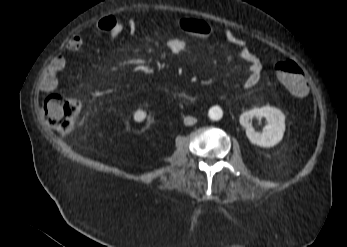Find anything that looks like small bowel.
Instances as JSON below:
<instances>
[{"instance_id": "small-bowel-1", "label": "small bowel", "mask_w": 347, "mask_h": 247, "mask_svg": "<svg viewBox=\"0 0 347 247\" xmlns=\"http://www.w3.org/2000/svg\"><path fill=\"white\" fill-rule=\"evenodd\" d=\"M178 27L187 35L199 41H208L214 34L213 28L205 21L195 18H184L176 20ZM138 28L135 20H128L126 23L118 21L113 16L102 18L96 23V29L108 35L109 39L119 36L124 30L130 34ZM225 41L237 50L239 58L250 67V72L244 83L248 88L255 86L260 79L261 60L249 48L245 39L238 33L230 29L222 31ZM83 46V38L80 35H72L67 41L65 48L70 52H78ZM188 40L186 37H176L168 40L167 48L173 55H179L187 49ZM66 61L62 56L54 57L41 75L39 87L42 92L52 93L59 85L60 73L64 70ZM178 95L184 99H190L191 95L186 90H179Z\"/></svg>"}]
</instances>
